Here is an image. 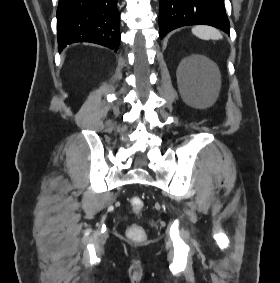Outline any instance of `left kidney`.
Here are the masks:
<instances>
[{
    "mask_svg": "<svg viewBox=\"0 0 280 283\" xmlns=\"http://www.w3.org/2000/svg\"><path fill=\"white\" fill-rule=\"evenodd\" d=\"M199 59H203L205 60L203 57L201 56H194V57H191V58H188L184 61V63L186 64H190V63H195L196 61H198Z\"/></svg>",
    "mask_w": 280,
    "mask_h": 283,
    "instance_id": "obj_1",
    "label": "left kidney"
}]
</instances>
